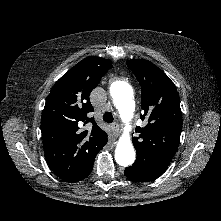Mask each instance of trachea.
Masks as SVG:
<instances>
[{
  "mask_svg": "<svg viewBox=\"0 0 221 221\" xmlns=\"http://www.w3.org/2000/svg\"><path fill=\"white\" fill-rule=\"evenodd\" d=\"M103 120L106 122V123H112L114 118H113V115L112 113L110 112H106L103 116Z\"/></svg>",
  "mask_w": 221,
  "mask_h": 221,
  "instance_id": "obj_1",
  "label": "trachea"
}]
</instances>
